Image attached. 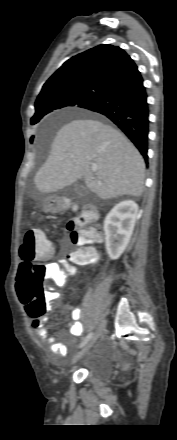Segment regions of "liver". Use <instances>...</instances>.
<instances>
[{
    "instance_id": "1",
    "label": "liver",
    "mask_w": 177,
    "mask_h": 440,
    "mask_svg": "<svg viewBox=\"0 0 177 440\" xmlns=\"http://www.w3.org/2000/svg\"><path fill=\"white\" fill-rule=\"evenodd\" d=\"M80 177L103 200L122 195L139 197L144 188L145 163L118 130L98 120L76 119L57 132L34 182L41 193H54Z\"/></svg>"
}]
</instances>
